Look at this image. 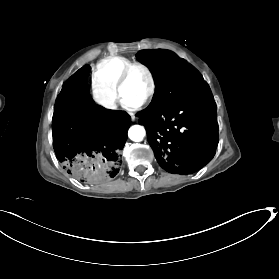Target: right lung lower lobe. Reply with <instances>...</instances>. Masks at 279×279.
Here are the masks:
<instances>
[{
    "label": "right lung lower lobe",
    "instance_id": "98d812e1",
    "mask_svg": "<svg viewBox=\"0 0 279 279\" xmlns=\"http://www.w3.org/2000/svg\"><path fill=\"white\" fill-rule=\"evenodd\" d=\"M87 71L85 65L72 75L57 97L52 119L53 147L68 174L99 185L119 173L130 116L95 104L86 86Z\"/></svg>",
    "mask_w": 279,
    "mask_h": 279
}]
</instances>
